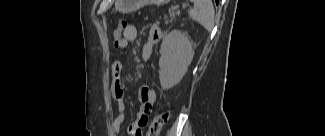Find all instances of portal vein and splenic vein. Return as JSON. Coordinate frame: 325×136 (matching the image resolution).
<instances>
[{
    "label": "portal vein and splenic vein",
    "mask_w": 325,
    "mask_h": 136,
    "mask_svg": "<svg viewBox=\"0 0 325 136\" xmlns=\"http://www.w3.org/2000/svg\"><path fill=\"white\" fill-rule=\"evenodd\" d=\"M187 6V4H183V8H185Z\"/></svg>",
    "instance_id": "18ae733b"
}]
</instances>
